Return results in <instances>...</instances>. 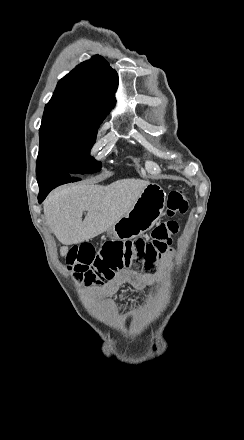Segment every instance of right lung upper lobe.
Returning <instances> with one entry per match:
<instances>
[{
    "label": "right lung upper lobe",
    "instance_id": "right-lung-upper-lobe-1",
    "mask_svg": "<svg viewBox=\"0 0 244 440\" xmlns=\"http://www.w3.org/2000/svg\"><path fill=\"white\" fill-rule=\"evenodd\" d=\"M118 75L101 56L79 64L62 78L48 104H73L109 112L115 105Z\"/></svg>",
    "mask_w": 244,
    "mask_h": 440
}]
</instances>
